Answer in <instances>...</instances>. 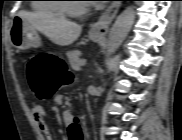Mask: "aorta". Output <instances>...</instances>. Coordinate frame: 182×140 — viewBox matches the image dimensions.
<instances>
[{
	"label": "aorta",
	"mask_w": 182,
	"mask_h": 140,
	"mask_svg": "<svg viewBox=\"0 0 182 140\" xmlns=\"http://www.w3.org/2000/svg\"><path fill=\"white\" fill-rule=\"evenodd\" d=\"M135 19L133 6L125 8L113 24L107 42V53H114L127 37Z\"/></svg>",
	"instance_id": "obj_1"
}]
</instances>
